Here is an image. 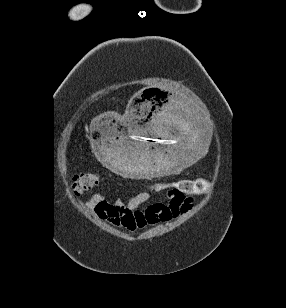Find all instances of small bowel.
Segmentation results:
<instances>
[{
    "mask_svg": "<svg viewBox=\"0 0 286 308\" xmlns=\"http://www.w3.org/2000/svg\"><path fill=\"white\" fill-rule=\"evenodd\" d=\"M196 194L172 188L167 192L165 202L152 203L143 210L142 206L152 198L148 190L140 191L127 202L110 201L103 192L99 191L87 201L86 207L109 225L136 232L148 225L166 223L185 214L192 209Z\"/></svg>",
    "mask_w": 286,
    "mask_h": 308,
    "instance_id": "1",
    "label": "small bowel"
}]
</instances>
